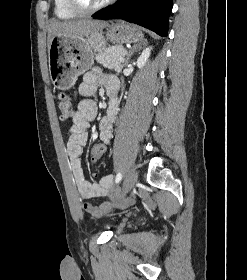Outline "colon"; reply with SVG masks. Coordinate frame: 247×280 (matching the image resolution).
<instances>
[{"instance_id": "colon-1", "label": "colon", "mask_w": 247, "mask_h": 280, "mask_svg": "<svg viewBox=\"0 0 247 280\" xmlns=\"http://www.w3.org/2000/svg\"><path fill=\"white\" fill-rule=\"evenodd\" d=\"M58 108L62 119H69L73 115L71 98L66 94H60L58 97ZM107 145L98 141L92 145L90 158L92 161H97L106 154Z\"/></svg>"}]
</instances>
